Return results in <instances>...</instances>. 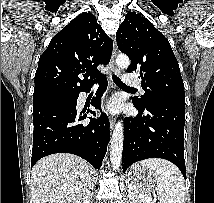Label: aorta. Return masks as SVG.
Returning <instances> with one entry per match:
<instances>
[{
  "mask_svg": "<svg viewBox=\"0 0 214 203\" xmlns=\"http://www.w3.org/2000/svg\"><path fill=\"white\" fill-rule=\"evenodd\" d=\"M116 64L119 68L125 69L130 65L128 56L120 54L117 56ZM123 125L118 122L115 125L110 146V161L113 170H118L121 164L122 151H123Z\"/></svg>",
  "mask_w": 214,
  "mask_h": 203,
  "instance_id": "aorta-1",
  "label": "aorta"
}]
</instances>
